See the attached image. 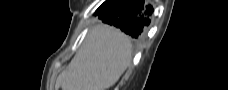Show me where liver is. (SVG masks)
<instances>
[{"instance_id":"obj_1","label":"liver","mask_w":228,"mask_h":90,"mask_svg":"<svg viewBox=\"0 0 228 90\" xmlns=\"http://www.w3.org/2000/svg\"><path fill=\"white\" fill-rule=\"evenodd\" d=\"M132 45L121 31L95 25L79 51L59 74L55 90H107L131 63Z\"/></svg>"}]
</instances>
